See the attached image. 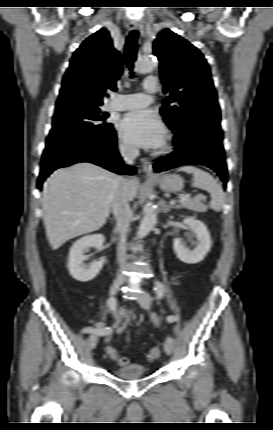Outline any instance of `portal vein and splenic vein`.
I'll use <instances>...</instances> for the list:
<instances>
[{"label":"portal vein and splenic vein","instance_id":"portal-vein-and-splenic-vein-1","mask_svg":"<svg viewBox=\"0 0 273 430\" xmlns=\"http://www.w3.org/2000/svg\"><path fill=\"white\" fill-rule=\"evenodd\" d=\"M190 196H191L190 194L182 195V196L180 197V202H181V201H184V200H186V199H188Z\"/></svg>","mask_w":273,"mask_h":430}]
</instances>
